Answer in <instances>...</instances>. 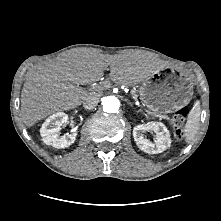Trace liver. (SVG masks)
<instances>
[{
    "label": "liver",
    "mask_w": 221,
    "mask_h": 221,
    "mask_svg": "<svg viewBox=\"0 0 221 221\" xmlns=\"http://www.w3.org/2000/svg\"><path fill=\"white\" fill-rule=\"evenodd\" d=\"M110 67L113 82L135 85L159 71L149 56L138 53L107 55L87 48L70 50L27 74L21 92V119L32 127L41 119L60 110L78 107L95 90L79 85L99 81Z\"/></svg>",
    "instance_id": "1"
}]
</instances>
